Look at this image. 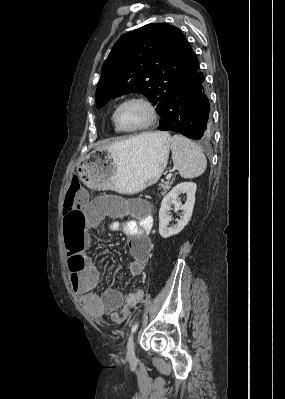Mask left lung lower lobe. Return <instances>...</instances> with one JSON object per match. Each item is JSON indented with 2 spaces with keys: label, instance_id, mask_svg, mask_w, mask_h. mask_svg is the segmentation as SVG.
I'll return each mask as SVG.
<instances>
[{
  "label": "left lung lower lobe",
  "instance_id": "left-lung-lower-lobe-1",
  "mask_svg": "<svg viewBox=\"0 0 285 399\" xmlns=\"http://www.w3.org/2000/svg\"><path fill=\"white\" fill-rule=\"evenodd\" d=\"M203 82L198 65L177 84L159 130L174 131L194 140L211 137L210 103Z\"/></svg>",
  "mask_w": 285,
  "mask_h": 399
}]
</instances>
